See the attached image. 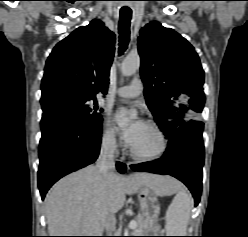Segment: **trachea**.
Instances as JSON below:
<instances>
[{"instance_id":"obj_1","label":"trachea","mask_w":248,"mask_h":237,"mask_svg":"<svg viewBox=\"0 0 248 237\" xmlns=\"http://www.w3.org/2000/svg\"><path fill=\"white\" fill-rule=\"evenodd\" d=\"M132 11L128 8H122L120 10V20H119V38L120 47L119 53L123 54L127 49L130 40V21H131Z\"/></svg>"}]
</instances>
